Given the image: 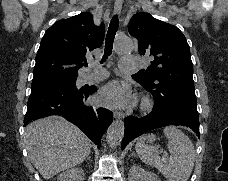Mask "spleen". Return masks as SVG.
<instances>
[{
  "instance_id": "obj_1",
  "label": "spleen",
  "mask_w": 228,
  "mask_h": 181,
  "mask_svg": "<svg viewBox=\"0 0 228 181\" xmlns=\"http://www.w3.org/2000/svg\"><path fill=\"white\" fill-rule=\"evenodd\" d=\"M163 133L168 139L170 157L160 159L156 147L146 145L145 137H141L135 145L139 159L158 169L167 181H188L195 161L192 141L178 127H165Z\"/></svg>"
}]
</instances>
